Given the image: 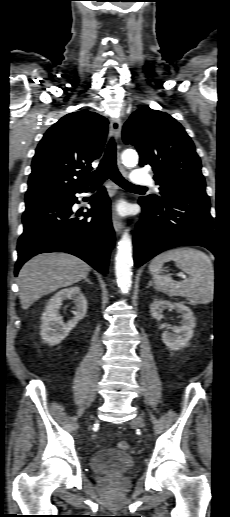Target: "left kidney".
I'll return each instance as SVG.
<instances>
[{
	"label": "left kidney",
	"mask_w": 230,
	"mask_h": 517,
	"mask_svg": "<svg viewBox=\"0 0 230 517\" xmlns=\"http://www.w3.org/2000/svg\"><path fill=\"white\" fill-rule=\"evenodd\" d=\"M176 310L177 313L181 314L182 321L180 326H174L171 328L173 333L164 331L162 333V341L164 344L173 351H177L188 345V342L193 337V329L195 327V317L189 307L182 303H173L170 301L156 300L150 305L151 316L160 320L163 318L164 310Z\"/></svg>",
	"instance_id": "1"
}]
</instances>
